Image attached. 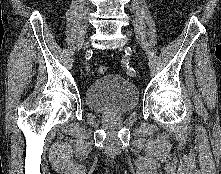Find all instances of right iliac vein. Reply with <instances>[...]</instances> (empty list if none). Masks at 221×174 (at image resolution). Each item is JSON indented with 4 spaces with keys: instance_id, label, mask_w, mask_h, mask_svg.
Returning a JSON list of instances; mask_svg holds the SVG:
<instances>
[{
    "instance_id": "obj_1",
    "label": "right iliac vein",
    "mask_w": 221,
    "mask_h": 174,
    "mask_svg": "<svg viewBox=\"0 0 221 174\" xmlns=\"http://www.w3.org/2000/svg\"><path fill=\"white\" fill-rule=\"evenodd\" d=\"M89 46V44L88 43H85V48H87Z\"/></svg>"
}]
</instances>
